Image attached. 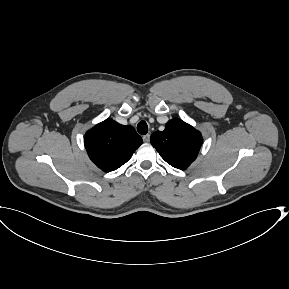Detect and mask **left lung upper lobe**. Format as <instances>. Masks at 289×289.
<instances>
[{
  "instance_id": "left-lung-upper-lobe-1",
  "label": "left lung upper lobe",
  "mask_w": 289,
  "mask_h": 289,
  "mask_svg": "<svg viewBox=\"0 0 289 289\" xmlns=\"http://www.w3.org/2000/svg\"><path fill=\"white\" fill-rule=\"evenodd\" d=\"M150 141L168 164L185 170L196 159L203 138L191 125L172 119L163 131L154 132Z\"/></svg>"
}]
</instances>
